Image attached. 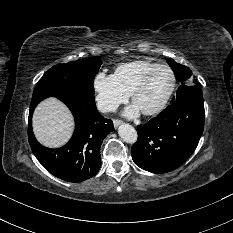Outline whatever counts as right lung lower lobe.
I'll use <instances>...</instances> for the list:
<instances>
[{
    "instance_id": "98d812e1",
    "label": "right lung lower lobe",
    "mask_w": 233,
    "mask_h": 233,
    "mask_svg": "<svg viewBox=\"0 0 233 233\" xmlns=\"http://www.w3.org/2000/svg\"><path fill=\"white\" fill-rule=\"evenodd\" d=\"M44 98L33 100L28 121V140L38 161L54 176L68 182H81L93 177L101 166L100 147L103 139L114 130L113 122L97 111L95 102L76 97H61L75 119L70 141L58 149L38 143L32 131V114Z\"/></svg>"
}]
</instances>
